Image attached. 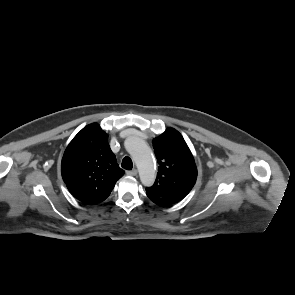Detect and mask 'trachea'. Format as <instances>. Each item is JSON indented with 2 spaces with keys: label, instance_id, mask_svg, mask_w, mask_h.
I'll list each match as a JSON object with an SVG mask.
<instances>
[{
  "label": "trachea",
  "instance_id": "1",
  "mask_svg": "<svg viewBox=\"0 0 295 295\" xmlns=\"http://www.w3.org/2000/svg\"><path fill=\"white\" fill-rule=\"evenodd\" d=\"M122 168L126 170H131L133 168V162L130 157L126 156L122 160Z\"/></svg>",
  "mask_w": 295,
  "mask_h": 295
}]
</instances>
